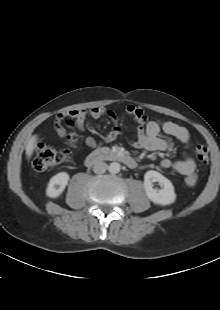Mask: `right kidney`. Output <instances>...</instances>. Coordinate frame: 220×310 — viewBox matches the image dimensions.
<instances>
[{
	"instance_id": "right-kidney-1",
	"label": "right kidney",
	"mask_w": 220,
	"mask_h": 310,
	"mask_svg": "<svg viewBox=\"0 0 220 310\" xmlns=\"http://www.w3.org/2000/svg\"><path fill=\"white\" fill-rule=\"evenodd\" d=\"M68 181H69V174L66 172H60L54 175L47 185L46 189L47 196L50 198L59 197L66 188Z\"/></svg>"
}]
</instances>
